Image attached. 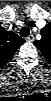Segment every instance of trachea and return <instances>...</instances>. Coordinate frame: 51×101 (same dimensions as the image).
Returning a JSON list of instances; mask_svg holds the SVG:
<instances>
[{"label": "trachea", "mask_w": 51, "mask_h": 101, "mask_svg": "<svg viewBox=\"0 0 51 101\" xmlns=\"http://www.w3.org/2000/svg\"><path fill=\"white\" fill-rule=\"evenodd\" d=\"M30 33V30L28 27H23L20 29V36L27 37Z\"/></svg>", "instance_id": "trachea-1"}]
</instances>
